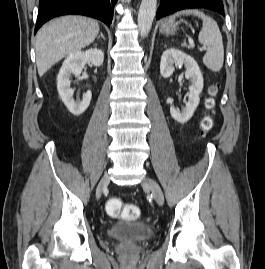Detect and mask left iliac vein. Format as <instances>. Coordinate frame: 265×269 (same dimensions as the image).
Listing matches in <instances>:
<instances>
[{"label": "left iliac vein", "mask_w": 265, "mask_h": 269, "mask_svg": "<svg viewBox=\"0 0 265 269\" xmlns=\"http://www.w3.org/2000/svg\"><path fill=\"white\" fill-rule=\"evenodd\" d=\"M142 186L150 189L157 204H159V205L164 204L163 192L161 190V187L159 186V184L155 180H153L150 177H146L142 182Z\"/></svg>", "instance_id": "obj_1"}]
</instances>
